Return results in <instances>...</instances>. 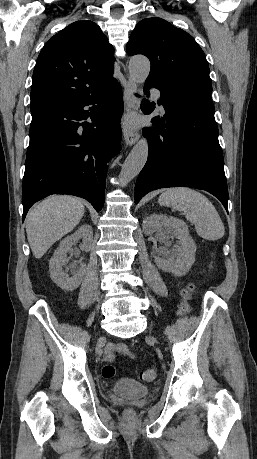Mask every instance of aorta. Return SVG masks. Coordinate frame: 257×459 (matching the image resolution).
Wrapping results in <instances>:
<instances>
[{
  "label": "aorta",
  "instance_id": "obj_1",
  "mask_svg": "<svg viewBox=\"0 0 257 459\" xmlns=\"http://www.w3.org/2000/svg\"><path fill=\"white\" fill-rule=\"evenodd\" d=\"M150 72V61L143 56L132 57L129 62V73L136 83H144ZM148 157V142L142 138L133 147L120 172V182L125 186L135 178L144 167Z\"/></svg>",
  "mask_w": 257,
  "mask_h": 459
}]
</instances>
